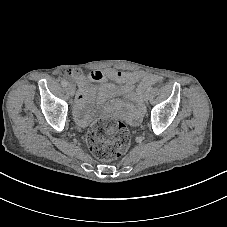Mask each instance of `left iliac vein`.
Here are the masks:
<instances>
[{
	"label": "left iliac vein",
	"mask_w": 227,
	"mask_h": 227,
	"mask_svg": "<svg viewBox=\"0 0 227 227\" xmlns=\"http://www.w3.org/2000/svg\"><path fill=\"white\" fill-rule=\"evenodd\" d=\"M150 99V92H146L145 94H144V100L145 101H148Z\"/></svg>",
	"instance_id": "1"
}]
</instances>
